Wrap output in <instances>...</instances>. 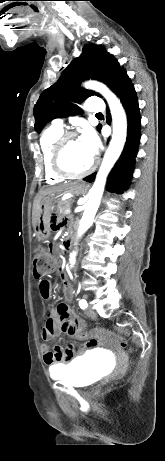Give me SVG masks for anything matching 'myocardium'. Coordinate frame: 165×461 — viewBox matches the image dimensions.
Here are the masks:
<instances>
[{
	"label": "myocardium",
	"instance_id": "f54148a6",
	"mask_svg": "<svg viewBox=\"0 0 165 461\" xmlns=\"http://www.w3.org/2000/svg\"><path fill=\"white\" fill-rule=\"evenodd\" d=\"M75 137H77L76 132H73V131L63 132L54 142L52 149H51V155H50L51 167L55 173L63 177H70V178L84 177L90 174L92 171H94V169L96 168L98 164V159L93 158L91 164L86 169L79 171V172L72 171L65 165L64 160H63V155H64L66 144L69 140Z\"/></svg>",
	"mask_w": 165,
	"mask_h": 461
}]
</instances>
